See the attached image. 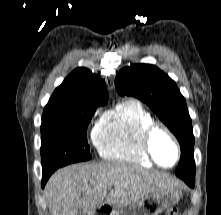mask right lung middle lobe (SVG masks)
Returning <instances> with one entry per match:
<instances>
[{
	"label": "right lung middle lobe",
	"instance_id": "obj_1",
	"mask_svg": "<svg viewBox=\"0 0 221 215\" xmlns=\"http://www.w3.org/2000/svg\"><path fill=\"white\" fill-rule=\"evenodd\" d=\"M101 104L45 106L41 125L43 172L91 158L87 127Z\"/></svg>",
	"mask_w": 221,
	"mask_h": 215
}]
</instances>
